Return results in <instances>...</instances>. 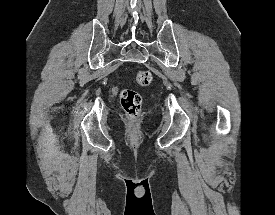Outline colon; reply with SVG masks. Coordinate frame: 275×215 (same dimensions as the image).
Segmentation results:
<instances>
[{
    "label": "colon",
    "mask_w": 275,
    "mask_h": 215,
    "mask_svg": "<svg viewBox=\"0 0 275 215\" xmlns=\"http://www.w3.org/2000/svg\"><path fill=\"white\" fill-rule=\"evenodd\" d=\"M152 74L148 70H140L136 73L135 81L139 86H148L152 82ZM121 105L126 115L135 120L141 110L142 98L134 89H124L120 94Z\"/></svg>",
    "instance_id": "obj_1"
}]
</instances>
